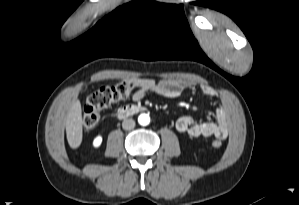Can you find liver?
<instances>
[{
	"mask_svg": "<svg viewBox=\"0 0 299 205\" xmlns=\"http://www.w3.org/2000/svg\"><path fill=\"white\" fill-rule=\"evenodd\" d=\"M82 110L81 103L77 99L69 109L66 116V136L71 148L76 149L82 142Z\"/></svg>",
	"mask_w": 299,
	"mask_h": 205,
	"instance_id": "liver-1",
	"label": "liver"
}]
</instances>
